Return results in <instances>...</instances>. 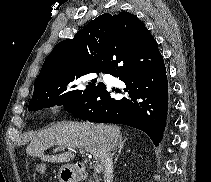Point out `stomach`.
Masks as SVG:
<instances>
[{"mask_svg": "<svg viewBox=\"0 0 211 182\" xmlns=\"http://www.w3.org/2000/svg\"><path fill=\"white\" fill-rule=\"evenodd\" d=\"M58 178L60 182H77L78 174L72 165H63L59 169Z\"/></svg>", "mask_w": 211, "mask_h": 182, "instance_id": "stomach-1", "label": "stomach"}]
</instances>
